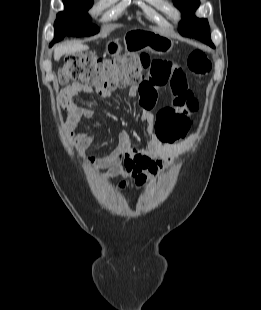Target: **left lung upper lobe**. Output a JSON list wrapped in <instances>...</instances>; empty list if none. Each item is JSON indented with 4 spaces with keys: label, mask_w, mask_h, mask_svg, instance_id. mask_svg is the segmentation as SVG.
<instances>
[{
    "label": "left lung upper lobe",
    "mask_w": 261,
    "mask_h": 310,
    "mask_svg": "<svg viewBox=\"0 0 261 310\" xmlns=\"http://www.w3.org/2000/svg\"><path fill=\"white\" fill-rule=\"evenodd\" d=\"M174 5L183 13V20L180 22L179 32L183 36L195 37L208 25L207 19L197 18L194 11L199 6V0H173Z\"/></svg>",
    "instance_id": "obj_1"
}]
</instances>
